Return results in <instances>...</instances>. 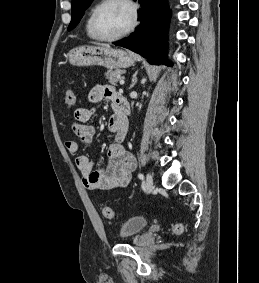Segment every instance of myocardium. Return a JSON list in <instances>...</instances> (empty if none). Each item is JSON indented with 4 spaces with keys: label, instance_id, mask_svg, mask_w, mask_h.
I'll return each instance as SVG.
<instances>
[{
    "label": "myocardium",
    "instance_id": "myocardium-1",
    "mask_svg": "<svg viewBox=\"0 0 259 283\" xmlns=\"http://www.w3.org/2000/svg\"><path fill=\"white\" fill-rule=\"evenodd\" d=\"M113 1H121L123 3H125L131 10V21L128 25V27L122 31L121 33H119L118 35L112 36V37H105L99 34L98 30H97V26H96V20H97V16L99 11L108 3H111ZM138 22V11H137V7L134 4V2L132 0H101L94 8L92 15H91V20H90V29L91 32L93 34V36L100 40V41H104V42H113L116 40H119L125 36H127L128 34H130L136 27Z\"/></svg>",
    "mask_w": 259,
    "mask_h": 283
}]
</instances>
